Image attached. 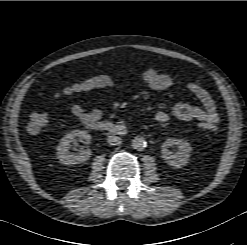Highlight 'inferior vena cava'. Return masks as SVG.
Here are the masks:
<instances>
[{"mask_svg": "<svg viewBox=\"0 0 247 245\" xmlns=\"http://www.w3.org/2000/svg\"><path fill=\"white\" fill-rule=\"evenodd\" d=\"M107 141L110 145H119L122 142L121 138L116 135H109Z\"/></svg>", "mask_w": 247, "mask_h": 245, "instance_id": "obj_1", "label": "inferior vena cava"}]
</instances>
